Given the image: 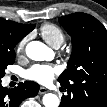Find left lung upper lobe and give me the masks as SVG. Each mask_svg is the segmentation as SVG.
I'll use <instances>...</instances> for the list:
<instances>
[{"label":"left lung upper lobe","mask_w":107,"mask_h":107,"mask_svg":"<svg viewBox=\"0 0 107 107\" xmlns=\"http://www.w3.org/2000/svg\"><path fill=\"white\" fill-rule=\"evenodd\" d=\"M72 37L73 51L60 84L72 91L71 107H80L83 83L107 81V30L93 16L74 13L59 18Z\"/></svg>","instance_id":"5c2ea615"}]
</instances>
